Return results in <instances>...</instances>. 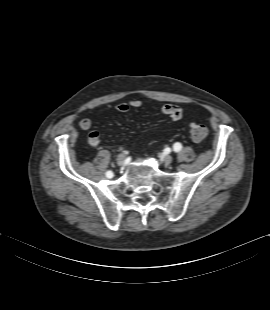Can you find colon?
Here are the masks:
<instances>
[{"label":"colon","instance_id":"1","mask_svg":"<svg viewBox=\"0 0 270 310\" xmlns=\"http://www.w3.org/2000/svg\"><path fill=\"white\" fill-rule=\"evenodd\" d=\"M208 134V129L205 125L193 123L190 126V135L195 142L203 141Z\"/></svg>","mask_w":270,"mask_h":310}]
</instances>
